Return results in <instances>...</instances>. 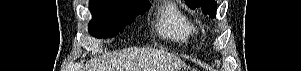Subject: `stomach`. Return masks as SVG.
Wrapping results in <instances>:
<instances>
[{
    "mask_svg": "<svg viewBox=\"0 0 301 71\" xmlns=\"http://www.w3.org/2000/svg\"><path fill=\"white\" fill-rule=\"evenodd\" d=\"M185 69H186V68H185ZM181 71H183V70H181ZM184 71H189V70H188V68H187V70H184Z\"/></svg>",
    "mask_w": 301,
    "mask_h": 71,
    "instance_id": "0dacf381",
    "label": "stomach"
}]
</instances>
